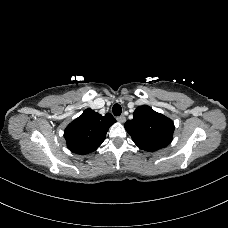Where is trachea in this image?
<instances>
[{"mask_svg":"<svg viewBox=\"0 0 228 228\" xmlns=\"http://www.w3.org/2000/svg\"><path fill=\"white\" fill-rule=\"evenodd\" d=\"M112 111L115 116H120L122 112V108L119 104H114Z\"/></svg>","mask_w":228,"mask_h":228,"instance_id":"1","label":"trachea"}]
</instances>
